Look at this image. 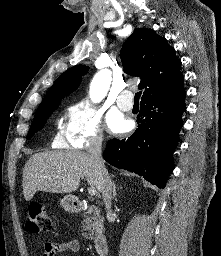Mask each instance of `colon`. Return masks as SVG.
I'll list each match as a JSON object with an SVG mask.
<instances>
[{
    "instance_id": "obj_1",
    "label": "colon",
    "mask_w": 221,
    "mask_h": 256,
    "mask_svg": "<svg viewBox=\"0 0 221 256\" xmlns=\"http://www.w3.org/2000/svg\"><path fill=\"white\" fill-rule=\"evenodd\" d=\"M51 219L46 208L39 202H33L28 208L26 226L31 233L46 232L51 228Z\"/></svg>"
}]
</instances>
